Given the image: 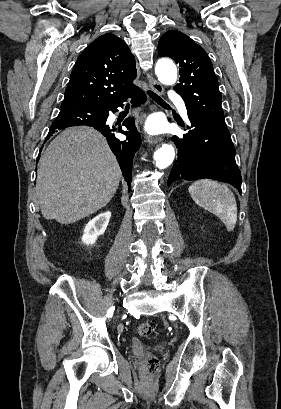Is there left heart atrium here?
Instances as JSON below:
<instances>
[{"label":"left heart atrium","instance_id":"1","mask_svg":"<svg viewBox=\"0 0 281 409\" xmlns=\"http://www.w3.org/2000/svg\"><path fill=\"white\" fill-rule=\"evenodd\" d=\"M161 129V124L157 119H150L148 120V122L146 123V130L149 133H157L159 132Z\"/></svg>","mask_w":281,"mask_h":409}]
</instances>
